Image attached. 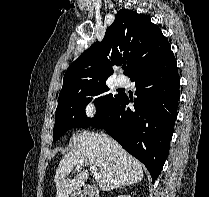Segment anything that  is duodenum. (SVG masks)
<instances>
[{
  "label": "duodenum",
  "mask_w": 209,
  "mask_h": 197,
  "mask_svg": "<svg viewBox=\"0 0 209 197\" xmlns=\"http://www.w3.org/2000/svg\"><path fill=\"white\" fill-rule=\"evenodd\" d=\"M80 195L83 197H100L97 190L92 185H82L80 187Z\"/></svg>",
  "instance_id": "1"
}]
</instances>
